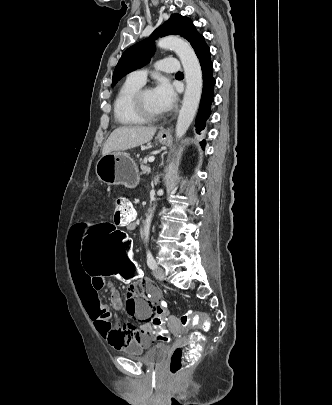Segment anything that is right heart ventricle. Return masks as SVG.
<instances>
[{
	"label": "right heart ventricle",
	"mask_w": 332,
	"mask_h": 405,
	"mask_svg": "<svg viewBox=\"0 0 332 405\" xmlns=\"http://www.w3.org/2000/svg\"><path fill=\"white\" fill-rule=\"evenodd\" d=\"M143 84L128 78L119 88L113 104L114 117L123 126L140 125L143 121L135 114L132 106L134 94Z\"/></svg>",
	"instance_id": "obj_1"
}]
</instances>
